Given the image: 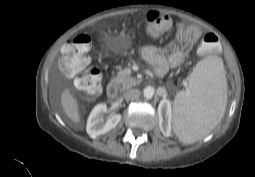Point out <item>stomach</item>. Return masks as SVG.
<instances>
[{"label":"stomach","mask_w":255,"mask_h":177,"mask_svg":"<svg viewBox=\"0 0 255 177\" xmlns=\"http://www.w3.org/2000/svg\"><path fill=\"white\" fill-rule=\"evenodd\" d=\"M118 45L116 48L125 49L130 46V38L128 36H119L117 37Z\"/></svg>","instance_id":"stomach-1"}]
</instances>
